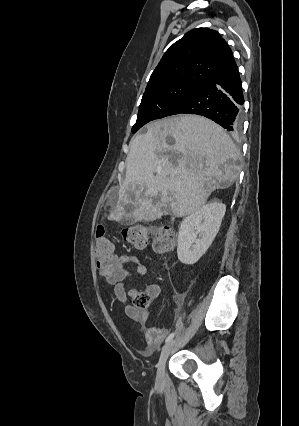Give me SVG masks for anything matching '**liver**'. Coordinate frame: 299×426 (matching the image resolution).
<instances>
[{
	"label": "liver",
	"mask_w": 299,
	"mask_h": 426,
	"mask_svg": "<svg viewBox=\"0 0 299 426\" xmlns=\"http://www.w3.org/2000/svg\"><path fill=\"white\" fill-rule=\"evenodd\" d=\"M239 151L215 122L178 115L147 125L130 142L126 176L109 220L152 222L198 211L212 191L237 178ZM133 206L132 213L125 207Z\"/></svg>",
	"instance_id": "1"
}]
</instances>
